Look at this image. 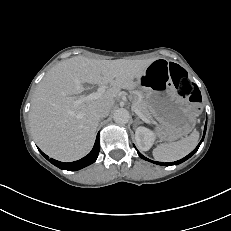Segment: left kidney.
<instances>
[{
	"label": "left kidney",
	"instance_id": "obj_1",
	"mask_svg": "<svg viewBox=\"0 0 231 231\" xmlns=\"http://www.w3.org/2000/svg\"><path fill=\"white\" fill-rule=\"evenodd\" d=\"M154 134L152 131L145 127H138L135 131V140L137 143V146L142 151H148L154 142Z\"/></svg>",
	"mask_w": 231,
	"mask_h": 231
}]
</instances>
